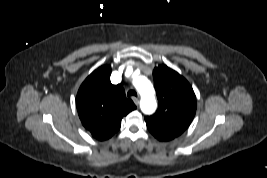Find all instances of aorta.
<instances>
[{"mask_svg": "<svg viewBox=\"0 0 267 178\" xmlns=\"http://www.w3.org/2000/svg\"><path fill=\"white\" fill-rule=\"evenodd\" d=\"M134 85L141 95V110L146 114L153 113L157 107V103L151 82L147 78L140 76L134 80Z\"/></svg>", "mask_w": 267, "mask_h": 178, "instance_id": "762f6f07", "label": "aorta"}]
</instances>
